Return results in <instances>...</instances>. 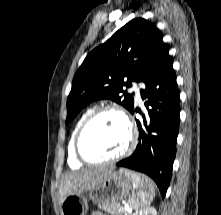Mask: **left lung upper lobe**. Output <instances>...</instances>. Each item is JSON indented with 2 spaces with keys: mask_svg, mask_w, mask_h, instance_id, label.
<instances>
[{
  "mask_svg": "<svg viewBox=\"0 0 221 215\" xmlns=\"http://www.w3.org/2000/svg\"><path fill=\"white\" fill-rule=\"evenodd\" d=\"M163 45L160 30L148 20L136 18L92 50L73 78L66 124L98 99H111L131 111L134 98L123 86L142 80Z\"/></svg>",
  "mask_w": 221,
  "mask_h": 215,
  "instance_id": "obj_1",
  "label": "left lung upper lobe"
}]
</instances>
